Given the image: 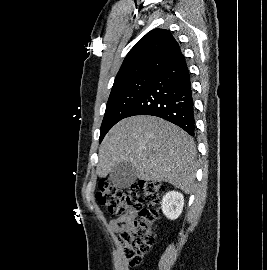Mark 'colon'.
I'll return each mask as SVG.
<instances>
[{
	"label": "colon",
	"instance_id": "5ec220e1",
	"mask_svg": "<svg viewBox=\"0 0 267 270\" xmlns=\"http://www.w3.org/2000/svg\"><path fill=\"white\" fill-rule=\"evenodd\" d=\"M163 191V186L155 181H140L129 188L116 187L106 179L98 183L96 199L109 213L138 212V218L119 232V242L132 267L141 263L154 244L158 204Z\"/></svg>",
	"mask_w": 267,
	"mask_h": 270
}]
</instances>
